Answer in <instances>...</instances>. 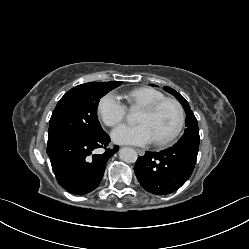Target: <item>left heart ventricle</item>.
Here are the masks:
<instances>
[{
  "instance_id": "1",
  "label": "left heart ventricle",
  "mask_w": 249,
  "mask_h": 249,
  "mask_svg": "<svg viewBox=\"0 0 249 249\" xmlns=\"http://www.w3.org/2000/svg\"><path fill=\"white\" fill-rule=\"evenodd\" d=\"M179 120L177 107L170 102L161 105L155 112L139 111L137 122L146 124L154 136V140H161L170 135Z\"/></svg>"
}]
</instances>
